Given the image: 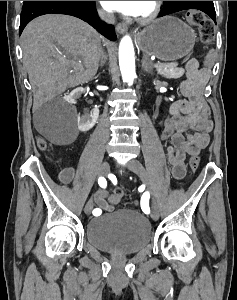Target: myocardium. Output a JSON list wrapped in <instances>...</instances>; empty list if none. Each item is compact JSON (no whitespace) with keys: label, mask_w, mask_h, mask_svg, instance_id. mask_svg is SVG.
<instances>
[{"label":"myocardium","mask_w":237,"mask_h":300,"mask_svg":"<svg viewBox=\"0 0 237 300\" xmlns=\"http://www.w3.org/2000/svg\"><path fill=\"white\" fill-rule=\"evenodd\" d=\"M149 10L135 17V21L139 24H148L154 21L160 14L162 8V1H150Z\"/></svg>","instance_id":"myocardium-1"}]
</instances>
